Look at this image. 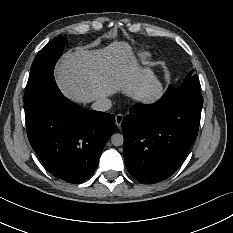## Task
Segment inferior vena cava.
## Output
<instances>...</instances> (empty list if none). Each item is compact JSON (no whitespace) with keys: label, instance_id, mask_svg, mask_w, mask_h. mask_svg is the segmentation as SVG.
I'll return each instance as SVG.
<instances>
[{"label":"inferior vena cava","instance_id":"obj_1","mask_svg":"<svg viewBox=\"0 0 233 233\" xmlns=\"http://www.w3.org/2000/svg\"><path fill=\"white\" fill-rule=\"evenodd\" d=\"M112 106L111 100L108 98H99L92 104V109L105 112Z\"/></svg>","mask_w":233,"mask_h":233}]
</instances>
